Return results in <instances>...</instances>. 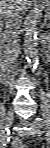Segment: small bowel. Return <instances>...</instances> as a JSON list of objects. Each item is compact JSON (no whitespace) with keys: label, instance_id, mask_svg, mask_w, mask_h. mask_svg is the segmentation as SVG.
<instances>
[{"label":"small bowel","instance_id":"small-bowel-1","mask_svg":"<svg viewBox=\"0 0 50 148\" xmlns=\"http://www.w3.org/2000/svg\"><path fill=\"white\" fill-rule=\"evenodd\" d=\"M14 148H24L25 145L23 144L22 140L20 138H16L13 142Z\"/></svg>","mask_w":50,"mask_h":148}]
</instances>
